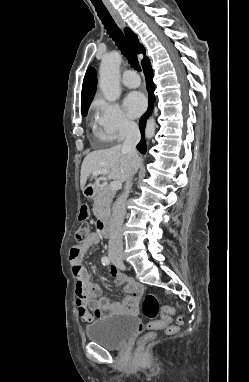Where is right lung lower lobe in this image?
Returning <instances> with one entry per match:
<instances>
[{
    "instance_id": "1",
    "label": "right lung lower lobe",
    "mask_w": 249,
    "mask_h": 382,
    "mask_svg": "<svg viewBox=\"0 0 249 382\" xmlns=\"http://www.w3.org/2000/svg\"><path fill=\"white\" fill-rule=\"evenodd\" d=\"M142 67H143L144 74L146 77L147 90H148V94H149V108H148L147 112L141 117V119L139 121V128L141 131L142 138H141L140 143L137 145V149L141 153H145L146 143L144 140V128H145V124H146V119L149 117L150 113L153 110V105L155 102V96H154V86H153V82H152L153 72H152L150 60L147 59L144 62H142Z\"/></svg>"
}]
</instances>
